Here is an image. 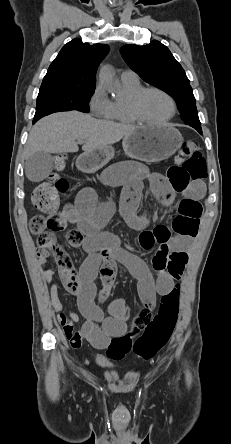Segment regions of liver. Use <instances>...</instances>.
Instances as JSON below:
<instances>
[{
  "mask_svg": "<svg viewBox=\"0 0 231 444\" xmlns=\"http://www.w3.org/2000/svg\"><path fill=\"white\" fill-rule=\"evenodd\" d=\"M139 126L97 120L78 111L59 112L39 120L31 129L25 158L36 152H77V140H84V153L119 142Z\"/></svg>",
  "mask_w": 231,
  "mask_h": 444,
  "instance_id": "liver-1",
  "label": "liver"
}]
</instances>
